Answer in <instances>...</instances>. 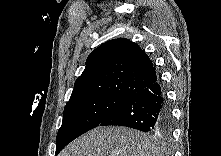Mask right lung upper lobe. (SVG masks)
Listing matches in <instances>:
<instances>
[{
	"label": "right lung upper lobe",
	"mask_w": 221,
	"mask_h": 156,
	"mask_svg": "<svg viewBox=\"0 0 221 156\" xmlns=\"http://www.w3.org/2000/svg\"><path fill=\"white\" fill-rule=\"evenodd\" d=\"M155 81L156 72L147 54L137 44L118 38L91 52L70 100L99 94L129 98Z\"/></svg>",
	"instance_id": "cb5924a9"
}]
</instances>
